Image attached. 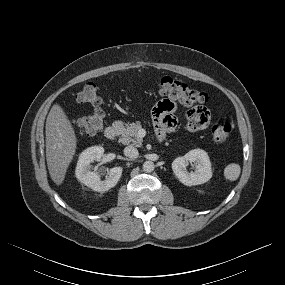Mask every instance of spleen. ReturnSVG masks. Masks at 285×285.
<instances>
[{
	"label": "spleen",
	"mask_w": 285,
	"mask_h": 285,
	"mask_svg": "<svg viewBox=\"0 0 285 285\" xmlns=\"http://www.w3.org/2000/svg\"><path fill=\"white\" fill-rule=\"evenodd\" d=\"M240 172V166L238 164L232 163L225 167L224 177L229 181H235L238 179Z\"/></svg>",
	"instance_id": "3e777b00"
}]
</instances>
